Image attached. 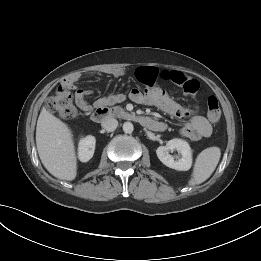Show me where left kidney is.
Returning a JSON list of instances; mask_svg holds the SVG:
<instances>
[{
    "label": "left kidney",
    "instance_id": "1",
    "mask_svg": "<svg viewBox=\"0 0 261 261\" xmlns=\"http://www.w3.org/2000/svg\"><path fill=\"white\" fill-rule=\"evenodd\" d=\"M177 150L181 158L174 160L169 151ZM159 160L169 168L178 171H187L192 166V151L189 144L182 139L169 140L165 146H159L156 150Z\"/></svg>",
    "mask_w": 261,
    "mask_h": 261
}]
</instances>
